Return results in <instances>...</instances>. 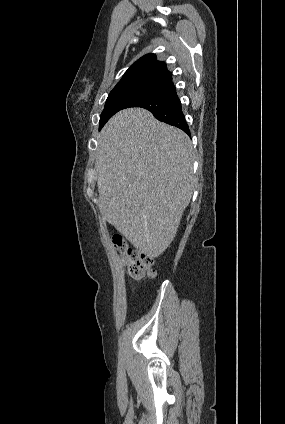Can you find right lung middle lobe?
<instances>
[{"mask_svg": "<svg viewBox=\"0 0 285 424\" xmlns=\"http://www.w3.org/2000/svg\"><path fill=\"white\" fill-rule=\"evenodd\" d=\"M159 83H136L114 88L106 100L100 116L99 129L118 111L125 109L132 101L141 99L161 89Z\"/></svg>", "mask_w": 285, "mask_h": 424, "instance_id": "1", "label": "right lung middle lobe"}]
</instances>
